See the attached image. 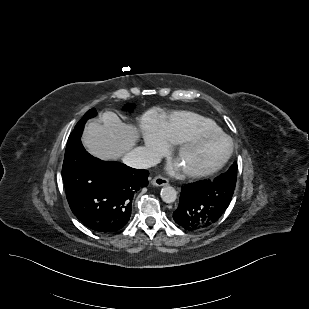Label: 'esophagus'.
<instances>
[{
    "instance_id": "34e87169",
    "label": "esophagus",
    "mask_w": 309,
    "mask_h": 309,
    "mask_svg": "<svg viewBox=\"0 0 309 309\" xmlns=\"http://www.w3.org/2000/svg\"><path fill=\"white\" fill-rule=\"evenodd\" d=\"M152 184L158 187L164 186L168 184V179L163 176H157L152 180Z\"/></svg>"
}]
</instances>
